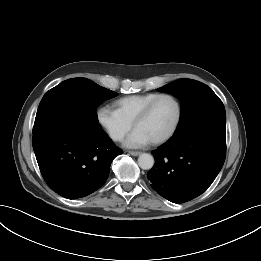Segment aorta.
I'll return each instance as SVG.
<instances>
[{
	"mask_svg": "<svg viewBox=\"0 0 261 261\" xmlns=\"http://www.w3.org/2000/svg\"><path fill=\"white\" fill-rule=\"evenodd\" d=\"M155 163L154 157L148 153H142L138 157V165L141 169L149 170Z\"/></svg>",
	"mask_w": 261,
	"mask_h": 261,
	"instance_id": "obj_1",
	"label": "aorta"
}]
</instances>
